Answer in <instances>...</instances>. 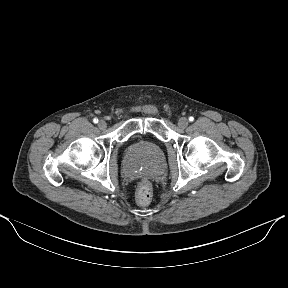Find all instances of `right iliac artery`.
<instances>
[{"label": "right iliac artery", "instance_id": "right-iliac-artery-1", "mask_svg": "<svg viewBox=\"0 0 288 288\" xmlns=\"http://www.w3.org/2000/svg\"><path fill=\"white\" fill-rule=\"evenodd\" d=\"M93 122H94V123H98V119H97V118H94V119H93Z\"/></svg>", "mask_w": 288, "mask_h": 288}]
</instances>
